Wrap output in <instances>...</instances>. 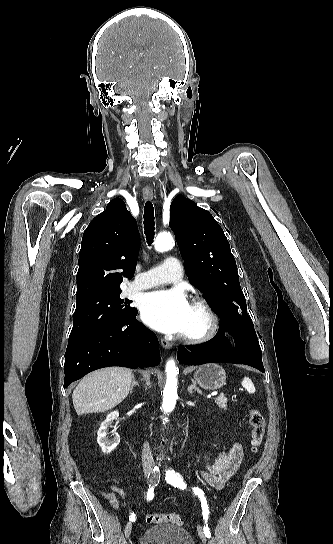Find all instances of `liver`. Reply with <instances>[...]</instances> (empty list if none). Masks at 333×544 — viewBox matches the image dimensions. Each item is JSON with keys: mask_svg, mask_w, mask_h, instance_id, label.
I'll return each mask as SVG.
<instances>
[{"mask_svg": "<svg viewBox=\"0 0 333 544\" xmlns=\"http://www.w3.org/2000/svg\"><path fill=\"white\" fill-rule=\"evenodd\" d=\"M133 374L127 368L109 367L85 376L74 389L73 405L78 415L104 412L129 394Z\"/></svg>", "mask_w": 333, "mask_h": 544, "instance_id": "liver-1", "label": "liver"}]
</instances>
